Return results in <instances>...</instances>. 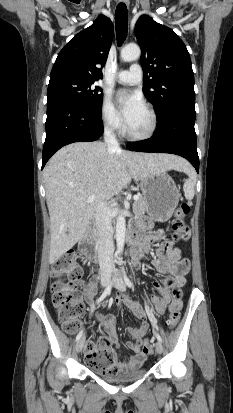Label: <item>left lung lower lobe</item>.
I'll return each mask as SVG.
<instances>
[{
    "instance_id": "0a47b994",
    "label": "left lung lower lobe",
    "mask_w": 233,
    "mask_h": 413,
    "mask_svg": "<svg viewBox=\"0 0 233 413\" xmlns=\"http://www.w3.org/2000/svg\"><path fill=\"white\" fill-rule=\"evenodd\" d=\"M156 134L146 140L127 145L131 151L171 153L186 158L199 172L195 113L176 109L159 116Z\"/></svg>"
}]
</instances>
